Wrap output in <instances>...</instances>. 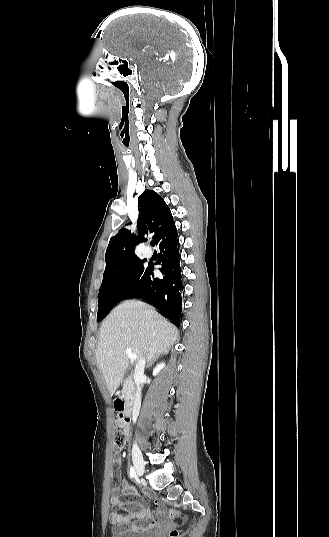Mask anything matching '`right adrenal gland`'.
<instances>
[{
  "instance_id": "obj_1",
  "label": "right adrenal gland",
  "mask_w": 329,
  "mask_h": 537,
  "mask_svg": "<svg viewBox=\"0 0 329 537\" xmlns=\"http://www.w3.org/2000/svg\"><path fill=\"white\" fill-rule=\"evenodd\" d=\"M166 353V352H165ZM159 355L161 354H158L157 356L153 357L147 364V367H150L152 365V363L157 359V357H159Z\"/></svg>"
}]
</instances>
